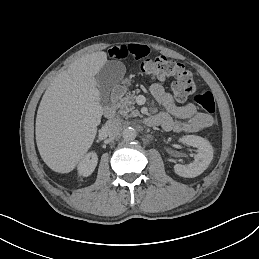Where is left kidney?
Instances as JSON below:
<instances>
[{
    "label": "left kidney",
    "mask_w": 259,
    "mask_h": 259,
    "mask_svg": "<svg viewBox=\"0 0 259 259\" xmlns=\"http://www.w3.org/2000/svg\"><path fill=\"white\" fill-rule=\"evenodd\" d=\"M183 142L198 149L194 156L195 161L188 166L174 165V173L184 178H194L199 176L213 160V148L208 141L198 136H185Z\"/></svg>",
    "instance_id": "5707ae66"
}]
</instances>
